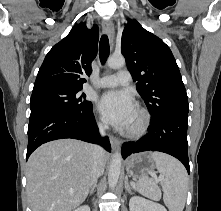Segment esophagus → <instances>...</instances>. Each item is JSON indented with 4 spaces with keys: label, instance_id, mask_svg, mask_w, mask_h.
<instances>
[{
    "label": "esophagus",
    "instance_id": "esophagus-1",
    "mask_svg": "<svg viewBox=\"0 0 221 211\" xmlns=\"http://www.w3.org/2000/svg\"><path fill=\"white\" fill-rule=\"evenodd\" d=\"M102 28L104 32L108 35L110 43L113 44L114 40V26L111 21H103ZM110 143L112 148L116 149L120 146V140L114 136H110Z\"/></svg>",
    "mask_w": 221,
    "mask_h": 211
}]
</instances>
